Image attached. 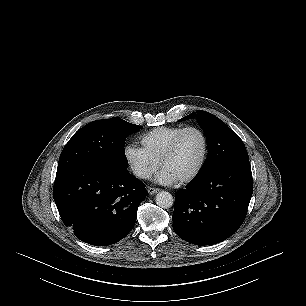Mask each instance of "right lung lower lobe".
Masks as SVG:
<instances>
[{"instance_id": "right-lung-lower-lobe-1", "label": "right lung lower lobe", "mask_w": 306, "mask_h": 306, "mask_svg": "<svg viewBox=\"0 0 306 306\" xmlns=\"http://www.w3.org/2000/svg\"><path fill=\"white\" fill-rule=\"evenodd\" d=\"M53 197L62 221L78 239L107 246L132 230L146 189L127 168L84 166L57 176Z\"/></svg>"}]
</instances>
